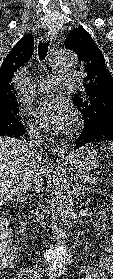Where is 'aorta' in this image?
I'll return each mask as SVG.
<instances>
[{"label": "aorta", "instance_id": "aorta-1", "mask_svg": "<svg viewBox=\"0 0 113 279\" xmlns=\"http://www.w3.org/2000/svg\"><path fill=\"white\" fill-rule=\"evenodd\" d=\"M53 66L74 68L78 64L77 54L66 48L57 49L51 61ZM52 191L56 197L57 212L61 222L70 228L75 221V212L71 192L65 176L59 171L52 172Z\"/></svg>", "mask_w": 113, "mask_h": 279}]
</instances>
